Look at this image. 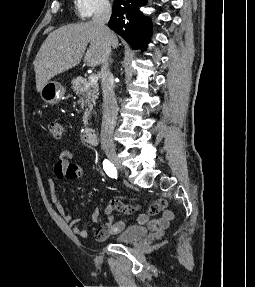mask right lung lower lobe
<instances>
[{"label": "right lung lower lobe", "instance_id": "right-lung-lower-lobe-1", "mask_svg": "<svg viewBox=\"0 0 255 287\" xmlns=\"http://www.w3.org/2000/svg\"><path fill=\"white\" fill-rule=\"evenodd\" d=\"M146 0H118L112 7L108 26L125 39L132 49L146 50L151 37L149 20L139 8Z\"/></svg>", "mask_w": 255, "mask_h": 287}]
</instances>
